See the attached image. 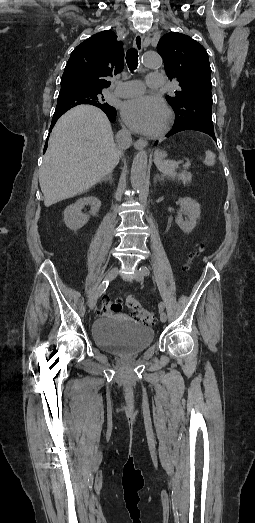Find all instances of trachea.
<instances>
[{"mask_svg":"<svg viewBox=\"0 0 255 523\" xmlns=\"http://www.w3.org/2000/svg\"><path fill=\"white\" fill-rule=\"evenodd\" d=\"M126 63L131 72H133L138 65V51L136 48H130L126 53Z\"/></svg>","mask_w":255,"mask_h":523,"instance_id":"obj_1","label":"trachea"}]
</instances>
